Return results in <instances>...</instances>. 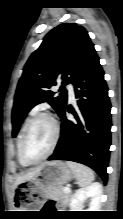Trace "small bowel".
I'll list each match as a JSON object with an SVG mask.
<instances>
[{
	"instance_id": "1",
	"label": "small bowel",
	"mask_w": 123,
	"mask_h": 219,
	"mask_svg": "<svg viewBox=\"0 0 123 219\" xmlns=\"http://www.w3.org/2000/svg\"><path fill=\"white\" fill-rule=\"evenodd\" d=\"M51 207H53V208H54V204H51Z\"/></svg>"
}]
</instances>
